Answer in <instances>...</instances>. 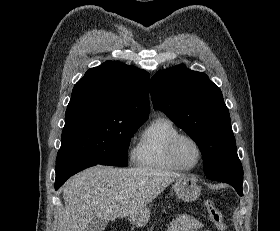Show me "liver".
I'll return each instance as SVG.
<instances>
[{
    "label": "liver",
    "instance_id": "6515ba94",
    "mask_svg": "<svg viewBox=\"0 0 280 231\" xmlns=\"http://www.w3.org/2000/svg\"><path fill=\"white\" fill-rule=\"evenodd\" d=\"M176 177L184 175L152 167H88L63 185L65 207L57 231H86L92 217H139Z\"/></svg>",
    "mask_w": 280,
    "mask_h": 231
}]
</instances>
